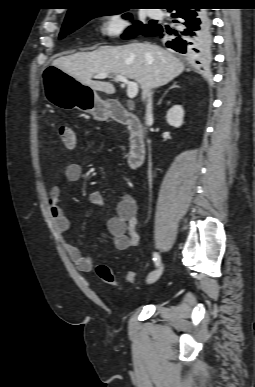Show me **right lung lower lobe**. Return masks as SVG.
I'll list each match as a JSON object with an SVG mask.
<instances>
[{"label":"right lung lower lobe","mask_w":255,"mask_h":387,"mask_svg":"<svg viewBox=\"0 0 255 387\" xmlns=\"http://www.w3.org/2000/svg\"><path fill=\"white\" fill-rule=\"evenodd\" d=\"M204 5L197 0L175 2L167 10L172 13L176 28L154 24L145 28L142 35L160 36L167 47L200 63L208 56L211 44L210 20L207 11L200 9Z\"/></svg>","instance_id":"1"}]
</instances>
